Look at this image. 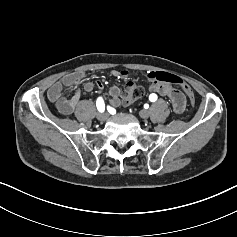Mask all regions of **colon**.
Listing matches in <instances>:
<instances>
[{
  "label": "colon",
  "mask_w": 237,
  "mask_h": 237,
  "mask_svg": "<svg viewBox=\"0 0 237 237\" xmlns=\"http://www.w3.org/2000/svg\"><path fill=\"white\" fill-rule=\"evenodd\" d=\"M149 77L157 82H165L179 86L188 96L192 105L195 104V95L191 87L180 77L168 72H150ZM144 94V89L139 85L130 84L126 89V96L123 100L125 105L131 104Z\"/></svg>",
  "instance_id": "colon-1"
}]
</instances>
